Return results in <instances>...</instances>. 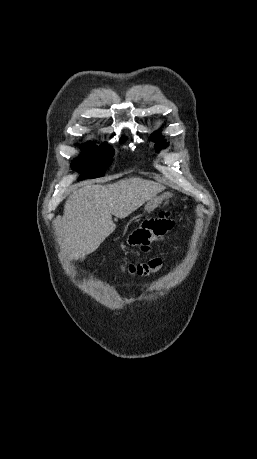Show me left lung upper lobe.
<instances>
[{"instance_id":"obj_1","label":"left lung upper lobe","mask_w":257,"mask_h":459,"mask_svg":"<svg viewBox=\"0 0 257 459\" xmlns=\"http://www.w3.org/2000/svg\"><path fill=\"white\" fill-rule=\"evenodd\" d=\"M151 140L156 142V148H161V147H166L167 144L165 143V141L162 142L163 140V137L160 136L159 132H155L153 133L151 136H150Z\"/></svg>"}]
</instances>
